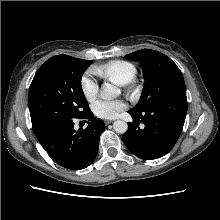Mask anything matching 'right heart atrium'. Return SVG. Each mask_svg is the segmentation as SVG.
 Instances as JSON below:
<instances>
[{
	"label": "right heart atrium",
	"mask_w": 220,
	"mask_h": 220,
	"mask_svg": "<svg viewBox=\"0 0 220 220\" xmlns=\"http://www.w3.org/2000/svg\"><path fill=\"white\" fill-rule=\"evenodd\" d=\"M80 86L84 97L88 101H92L99 92V85L97 81L91 76V74H85L81 78Z\"/></svg>",
	"instance_id": "right-heart-atrium-1"
}]
</instances>
